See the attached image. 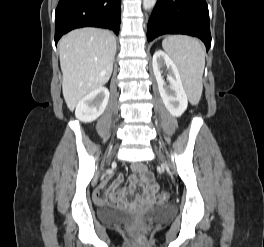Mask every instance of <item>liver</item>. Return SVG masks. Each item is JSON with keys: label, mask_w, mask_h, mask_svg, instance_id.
<instances>
[{"label": "liver", "mask_w": 264, "mask_h": 247, "mask_svg": "<svg viewBox=\"0 0 264 247\" xmlns=\"http://www.w3.org/2000/svg\"><path fill=\"white\" fill-rule=\"evenodd\" d=\"M59 53L63 96L72 111L84 96L109 81L116 40L106 30L76 29L60 39Z\"/></svg>", "instance_id": "6515ba94"}]
</instances>
